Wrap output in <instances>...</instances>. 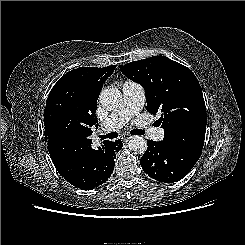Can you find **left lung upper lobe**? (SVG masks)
I'll list each match as a JSON object with an SVG mask.
<instances>
[{"label": "left lung upper lobe", "mask_w": 245, "mask_h": 245, "mask_svg": "<svg viewBox=\"0 0 245 245\" xmlns=\"http://www.w3.org/2000/svg\"><path fill=\"white\" fill-rule=\"evenodd\" d=\"M145 90L147 111L161 117L163 142L203 149L207 114L201 86L193 72L165 56L120 65Z\"/></svg>", "instance_id": "5c2ea615"}]
</instances>
